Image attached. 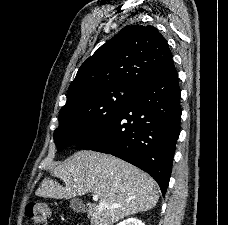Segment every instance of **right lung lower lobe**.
Returning a JSON list of instances; mask_svg holds the SVG:
<instances>
[{
  "instance_id": "1",
  "label": "right lung lower lobe",
  "mask_w": 228,
  "mask_h": 225,
  "mask_svg": "<svg viewBox=\"0 0 228 225\" xmlns=\"http://www.w3.org/2000/svg\"><path fill=\"white\" fill-rule=\"evenodd\" d=\"M180 87L173 60L141 84L118 112L76 149L112 154L149 173L165 195L180 133Z\"/></svg>"
}]
</instances>
